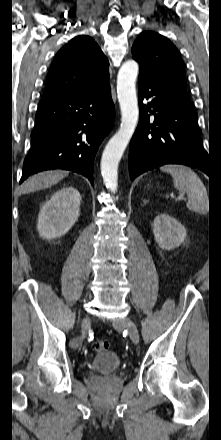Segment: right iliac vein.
Segmentation results:
<instances>
[{"label":"right iliac vein","mask_w":221,"mask_h":440,"mask_svg":"<svg viewBox=\"0 0 221 440\" xmlns=\"http://www.w3.org/2000/svg\"><path fill=\"white\" fill-rule=\"evenodd\" d=\"M88 324H89V318L86 317V318L83 320V323H82V330H83V331H85V330L87 329Z\"/></svg>","instance_id":"right-iliac-vein-1"}]
</instances>
